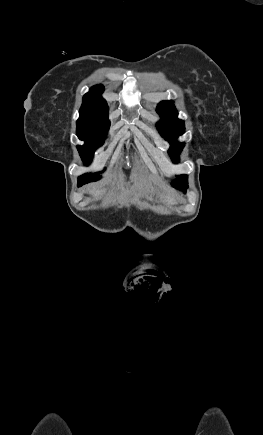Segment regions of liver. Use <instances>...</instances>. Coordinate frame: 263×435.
Masks as SVG:
<instances>
[{"instance_id":"obj_1","label":"liver","mask_w":263,"mask_h":435,"mask_svg":"<svg viewBox=\"0 0 263 435\" xmlns=\"http://www.w3.org/2000/svg\"><path fill=\"white\" fill-rule=\"evenodd\" d=\"M91 194H93V195L95 196V198L97 199V198L102 194V190L92 191ZM164 201H165L167 204H171V205L175 203L174 200H173L171 197H169V196H167V197L164 199Z\"/></svg>"}]
</instances>
